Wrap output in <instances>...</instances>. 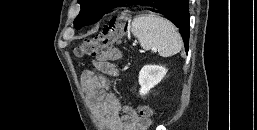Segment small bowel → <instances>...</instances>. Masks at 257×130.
Masks as SVG:
<instances>
[{
	"label": "small bowel",
	"mask_w": 257,
	"mask_h": 130,
	"mask_svg": "<svg viewBox=\"0 0 257 130\" xmlns=\"http://www.w3.org/2000/svg\"><path fill=\"white\" fill-rule=\"evenodd\" d=\"M119 56L115 49L100 54L97 66L109 75H118L116 67L110 63ZM81 84L90 105L107 130H146L150 120L140 118L134 109L122 106L116 95L108 91L107 80L86 70L81 75Z\"/></svg>",
	"instance_id": "c3829d8e"
}]
</instances>
